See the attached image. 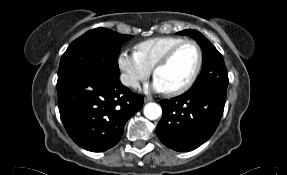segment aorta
<instances>
[{
    "label": "aorta",
    "instance_id": "762f6f07",
    "mask_svg": "<svg viewBox=\"0 0 287 175\" xmlns=\"http://www.w3.org/2000/svg\"><path fill=\"white\" fill-rule=\"evenodd\" d=\"M144 115L149 120H156L162 115V108L154 102H150L144 106Z\"/></svg>",
    "mask_w": 287,
    "mask_h": 175
}]
</instances>
